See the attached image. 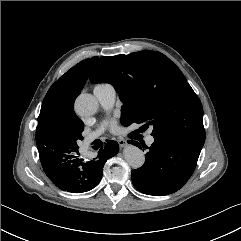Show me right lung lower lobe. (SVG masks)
<instances>
[{"label": "right lung lower lobe", "instance_id": "right-lung-lower-lobe-1", "mask_svg": "<svg viewBox=\"0 0 241 241\" xmlns=\"http://www.w3.org/2000/svg\"><path fill=\"white\" fill-rule=\"evenodd\" d=\"M37 147L48 178L61 190L71 193H83L96 187L102 178L104 164L119 151L117 142L107 140L104 148L98 151V156L85 162L79 157V147Z\"/></svg>", "mask_w": 241, "mask_h": 241}]
</instances>
